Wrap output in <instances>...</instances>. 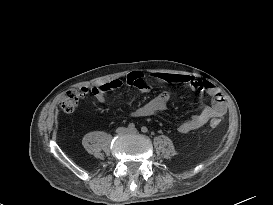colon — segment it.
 Masks as SVG:
<instances>
[{
    "instance_id": "5ec220e1",
    "label": "colon",
    "mask_w": 273,
    "mask_h": 205,
    "mask_svg": "<svg viewBox=\"0 0 273 205\" xmlns=\"http://www.w3.org/2000/svg\"><path fill=\"white\" fill-rule=\"evenodd\" d=\"M87 96V90L84 88H75L66 91L62 94L59 105L60 108L66 112L71 113L75 111L79 105V103ZM212 128H217L220 125V121L218 119H212L210 122Z\"/></svg>"
}]
</instances>
